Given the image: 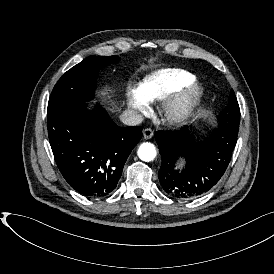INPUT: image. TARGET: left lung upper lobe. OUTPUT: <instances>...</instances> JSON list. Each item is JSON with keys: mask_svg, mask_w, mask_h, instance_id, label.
Masks as SVG:
<instances>
[{"mask_svg": "<svg viewBox=\"0 0 274 274\" xmlns=\"http://www.w3.org/2000/svg\"><path fill=\"white\" fill-rule=\"evenodd\" d=\"M219 122L239 128L240 109L233 90L229 97V104L219 115Z\"/></svg>", "mask_w": 274, "mask_h": 274, "instance_id": "1", "label": "left lung upper lobe"}]
</instances>
